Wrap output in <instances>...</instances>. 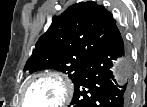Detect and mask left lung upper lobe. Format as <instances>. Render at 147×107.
<instances>
[{"instance_id": "1", "label": "left lung upper lobe", "mask_w": 147, "mask_h": 107, "mask_svg": "<svg viewBox=\"0 0 147 107\" xmlns=\"http://www.w3.org/2000/svg\"><path fill=\"white\" fill-rule=\"evenodd\" d=\"M116 25L111 12L93 1L67 8L37 41L24 71L56 69L72 82Z\"/></svg>"}]
</instances>
